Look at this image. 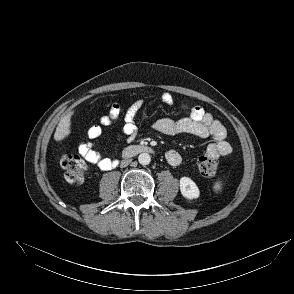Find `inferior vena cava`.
<instances>
[{"label": "inferior vena cava", "instance_id": "1", "mask_svg": "<svg viewBox=\"0 0 294 294\" xmlns=\"http://www.w3.org/2000/svg\"><path fill=\"white\" fill-rule=\"evenodd\" d=\"M131 160L130 159H125L121 162V167H126L128 164H130Z\"/></svg>", "mask_w": 294, "mask_h": 294}]
</instances>
